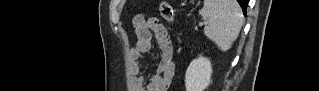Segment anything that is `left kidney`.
Segmentation results:
<instances>
[{
    "mask_svg": "<svg viewBox=\"0 0 319 91\" xmlns=\"http://www.w3.org/2000/svg\"><path fill=\"white\" fill-rule=\"evenodd\" d=\"M212 65L208 58L200 56L188 66L185 74L186 91H204L211 83Z\"/></svg>",
    "mask_w": 319,
    "mask_h": 91,
    "instance_id": "1",
    "label": "left kidney"
}]
</instances>
